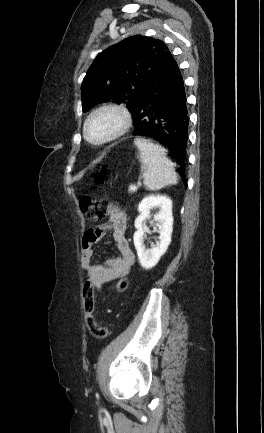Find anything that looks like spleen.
Here are the masks:
<instances>
[{
	"label": "spleen",
	"instance_id": "3e777b00",
	"mask_svg": "<svg viewBox=\"0 0 264 433\" xmlns=\"http://www.w3.org/2000/svg\"><path fill=\"white\" fill-rule=\"evenodd\" d=\"M134 143L140 150L144 171L143 184L148 190H159L177 184L174 165L166 157L163 147L140 137L135 138Z\"/></svg>",
	"mask_w": 264,
	"mask_h": 433
}]
</instances>
